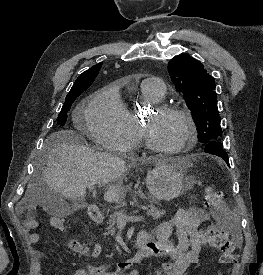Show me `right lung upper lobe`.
Here are the masks:
<instances>
[{
  "instance_id": "1",
  "label": "right lung upper lobe",
  "mask_w": 263,
  "mask_h": 275,
  "mask_svg": "<svg viewBox=\"0 0 263 275\" xmlns=\"http://www.w3.org/2000/svg\"><path fill=\"white\" fill-rule=\"evenodd\" d=\"M102 66V63H98L88 69L87 71L83 72L75 81L74 85L72 86L69 94H72L78 90H82L88 88L98 75V72Z\"/></svg>"
}]
</instances>
